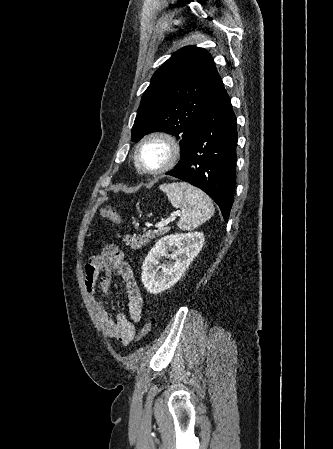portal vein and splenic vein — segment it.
Returning a JSON list of instances; mask_svg holds the SVG:
<instances>
[{
  "mask_svg": "<svg viewBox=\"0 0 333 449\" xmlns=\"http://www.w3.org/2000/svg\"><path fill=\"white\" fill-rule=\"evenodd\" d=\"M175 219H176V214H173L172 216H170V218H168V219H166V220H163V221L157 223V224L155 225V227H156V228H161V227H163V226L168 225L170 222L174 221Z\"/></svg>",
  "mask_w": 333,
  "mask_h": 449,
  "instance_id": "obj_1",
  "label": "portal vein and splenic vein"
}]
</instances>
